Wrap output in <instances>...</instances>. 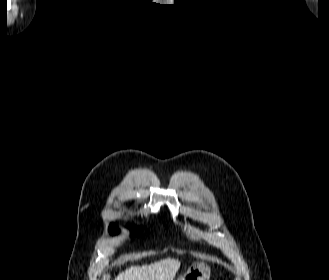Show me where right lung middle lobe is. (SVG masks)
Wrapping results in <instances>:
<instances>
[{"mask_svg":"<svg viewBox=\"0 0 329 280\" xmlns=\"http://www.w3.org/2000/svg\"><path fill=\"white\" fill-rule=\"evenodd\" d=\"M109 231H110L111 234H116V233H118L117 227H116L114 224L110 225ZM139 233H140V231H139L138 229H136V230L133 232L132 235H133V236H134V235H138Z\"/></svg>","mask_w":329,"mask_h":280,"instance_id":"right-lung-middle-lobe-1","label":"right lung middle lobe"}]
</instances>
